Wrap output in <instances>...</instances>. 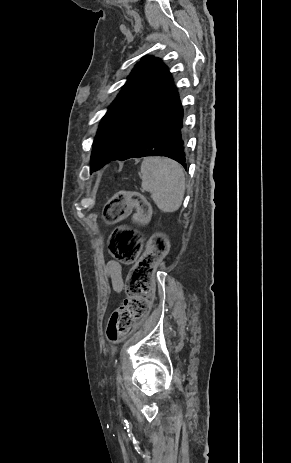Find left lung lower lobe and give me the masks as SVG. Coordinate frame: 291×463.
Here are the masks:
<instances>
[{
  "instance_id": "1",
  "label": "left lung lower lobe",
  "mask_w": 291,
  "mask_h": 463,
  "mask_svg": "<svg viewBox=\"0 0 291 463\" xmlns=\"http://www.w3.org/2000/svg\"><path fill=\"white\" fill-rule=\"evenodd\" d=\"M183 108L178 101L174 109L143 140L122 157H111L99 161L91 170L96 171L113 160H127L147 156H165L179 162L186 168L185 140L182 133Z\"/></svg>"
}]
</instances>
